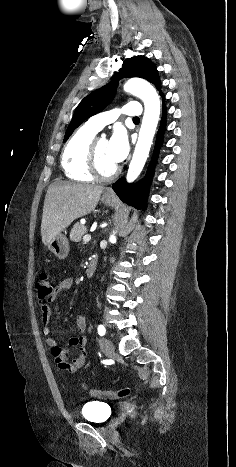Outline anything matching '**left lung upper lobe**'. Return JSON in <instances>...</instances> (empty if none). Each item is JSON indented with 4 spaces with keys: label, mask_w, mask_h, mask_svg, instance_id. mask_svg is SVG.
Here are the masks:
<instances>
[{
    "label": "left lung upper lobe",
    "mask_w": 236,
    "mask_h": 467,
    "mask_svg": "<svg viewBox=\"0 0 236 467\" xmlns=\"http://www.w3.org/2000/svg\"><path fill=\"white\" fill-rule=\"evenodd\" d=\"M117 77L107 85L86 96L77 106L71 123L69 124L63 142L71 136L73 131L89 117L104 110L113 100L121 77H140L153 83L158 90L161 82L156 66L144 56H134L123 62Z\"/></svg>",
    "instance_id": "1"
}]
</instances>
